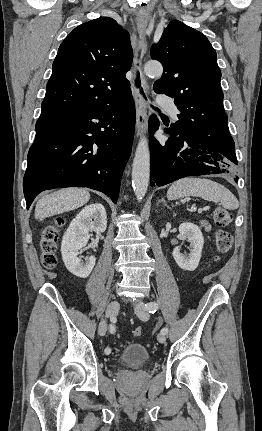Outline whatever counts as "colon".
<instances>
[{
    "label": "colon",
    "mask_w": 262,
    "mask_h": 431,
    "mask_svg": "<svg viewBox=\"0 0 262 431\" xmlns=\"http://www.w3.org/2000/svg\"><path fill=\"white\" fill-rule=\"evenodd\" d=\"M215 219L219 228L215 233V246L218 254H226L232 248L233 238L229 231L221 227L230 224L232 216L230 212L224 208H217L215 210ZM64 224L62 218H57L52 224L46 225L41 230L40 248H41V261L45 268L53 269L57 264V243L59 239L60 227ZM143 333L141 327H137L133 331L134 336H140Z\"/></svg>",
    "instance_id": "colon-1"
}]
</instances>
